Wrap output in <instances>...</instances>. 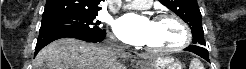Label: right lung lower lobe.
Instances as JSON below:
<instances>
[{"label": "right lung lower lobe", "mask_w": 246, "mask_h": 69, "mask_svg": "<svg viewBox=\"0 0 246 69\" xmlns=\"http://www.w3.org/2000/svg\"><path fill=\"white\" fill-rule=\"evenodd\" d=\"M105 36H106L105 30H102L97 33H82V32L71 31V30L43 31L40 32L39 34L36 48H35V54H37L44 46H46L50 42L60 38L71 37V38L84 40L87 42H100L105 38Z\"/></svg>", "instance_id": "right-lung-lower-lobe-1"}]
</instances>
